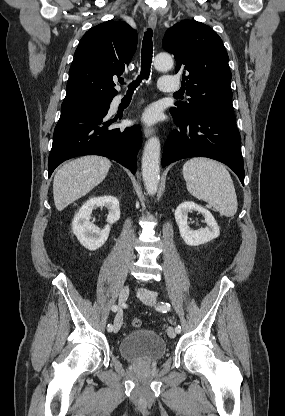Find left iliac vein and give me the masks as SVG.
<instances>
[{
	"label": "left iliac vein",
	"instance_id": "4c4485c4",
	"mask_svg": "<svg viewBox=\"0 0 285 416\" xmlns=\"http://www.w3.org/2000/svg\"><path fill=\"white\" fill-rule=\"evenodd\" d=\"M137 294L143 303L149 306H154V303L156 301V294L153 291L141 288L140 290H138ZM167 334L170 338H175L177 332L174 331L173 327H168Z\"/></svg>",
	"mask_w": 285,
	"mask_h": 416
}]
</instances>
